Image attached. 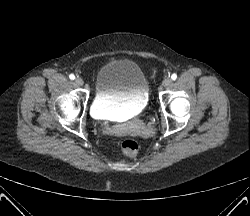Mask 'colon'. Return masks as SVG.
Masks as SVG:
<instances>
[{
	"label": "colon",
	"mask_w": 250,
	"mask_h": 216,
	"mask_svg": "<svg viewBox=\"0 0 250 216\" xmlns=\"http://www.w3.org/2000/svg\"><path fill=\"white\" fill-rule=\"evenodd\" d=\"M138 149L139 146L134 140L127 139L120 144V152L128 157L135 156L138 153Z\"/></svg>",
	"instance_id": "5ec220e1"
}]
</instances>
